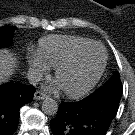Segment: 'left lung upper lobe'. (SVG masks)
<instances>
[{"instance_id": "5c2ea615", "label": "left lung upper lobe", "mask_w": 135, "mask_h": 135, "mask_svg": "<svg viewBox=\"0 0 135 135\" xmlns=\"http://www.w3.org/2000/svg\"><path fill=\"white\" fill-rule=\"evenodd\" d=\"M104 86H108V87H113V86H118V87H122L121 81H120V77H119V73H115L110 80H108Z\"/></svg>"}]
</instances>
